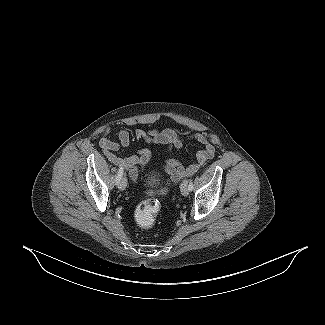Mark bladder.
<instances>
[{"instance_id": "obj_1", "label": "bladder", "mask_w": 325, "mask_h": 325, "mask_svg": "<svg viewBox=\"0 0 325 325\" xmlns=\"http://www.w3.org/2000/svg\"><path fill=\"white\" fill-rule=\"evenodd\" d=\"M160 180V176L158 173H152L148 176L147 181L150 183L152 187H155Z\"/></svg>"}]
</instances>
